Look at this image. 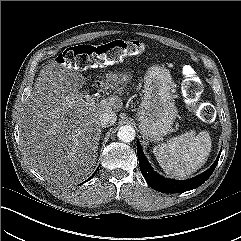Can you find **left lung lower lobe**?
<instances>
[{
    "instance_id": "left-lung-lower-lobe-1",
    "label": "left lung lower lobe",
    "mask_w": 241,
    "mask_h": 241,
    "mask_svg": "<svg viewBox=\"0 0 241 241\" xmlns=\"http://www.w3.org/2000/svg\"><path fill=\"white\" fill-rule=\"evenodd\" d=\"M137 155L139 159V166L140 170L147 181V183L155 190L163 192V193H181L188 190L195 189L202 185L213 173L219 157H217L214 164L210 167V169L206 170L201 175L194 177L189 180L184 181H176L171 179H166L164 177H161L157 173H155L149 163L147 162L143 152L140 143H137Z\"/></svg>"
}]
</instances>
